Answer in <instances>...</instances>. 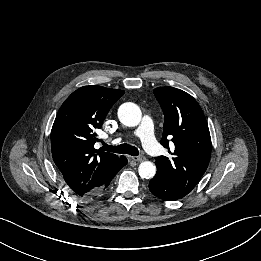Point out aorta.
<instances>
[{"instance_id":"obj_1","label":"aorta","mask_w":261,"mask_h":261,"mask_svg":"<svg viewBox=\"0 0 261 261\" xmlns=\"http://www.w3.org/2000/svg\"><path fill=\"white\" fill-rule=\"evenodd\" d=\"M141 117V110L134 103H124L118 109V118L125 126H137L141 121ZM138 172L142 178L151 179L156 174V166L150 161H144L139 165Z\"/></svg>"}]
</instances>
